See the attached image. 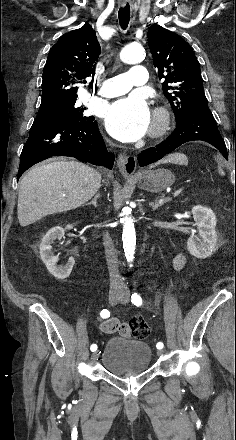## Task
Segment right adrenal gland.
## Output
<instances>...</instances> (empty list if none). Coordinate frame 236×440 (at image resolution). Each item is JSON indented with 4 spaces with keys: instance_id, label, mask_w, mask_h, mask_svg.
<instances>
[{
    "instance_id": "obj_1",
    "label": "right adrenal gland",
    "mask_w": 236,
    "mask_h": 440,
    "mask_svg": "<svg viewBox=\"0 0 236 440\" xmlns=\"http://www.w3.org/2000/svg\"><path fill=\"white\" fill-rule=\"evenodd\" d=\"M100 197V194L99 193H97L96 195H95V197L92 199V201L91 202H89V203H87L86 205H93L95 208L97 207V199Z\"/></svg>"
}]
</instances>
